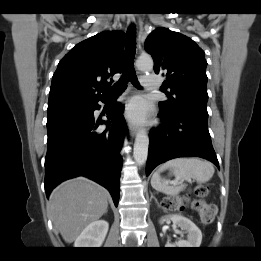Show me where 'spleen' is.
Masks as SVG:
<instances>
[{
	"label": "spleen",
	"instance_id": "spleen-1",
	"mask_svg": "<svg viewBox=\"0 0 261 261\" xmlns=\"http://www.w3.org/2000/svg\"><path fill=\"white\" fill-rule=\"evenodd\" d=\"M170 169L177 180L194 179L198 183L209 181L214 172V165L206 160L198 158H176L162 164L151 178V186L164 194L175 196L183 190V187L172 184L166 179L161 178L160 173Z\"/></svg>",
	"mask_w": 261,
	"mask_h": 261
}]
</instances>
